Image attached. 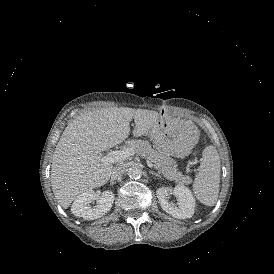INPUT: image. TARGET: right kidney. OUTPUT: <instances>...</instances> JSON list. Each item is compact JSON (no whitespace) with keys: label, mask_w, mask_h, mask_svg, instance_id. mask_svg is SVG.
<instances>
[{"label":"right kidney","mask_w":274,"mask_h":274,"mask_svg":"<svg viewBox=\"0 0 274 274\" xmlns=\"http://www.w3.org/2000/svg\"><path fill=\"white\" fill-rule=\"evenodd\" d=\"M97 200L96 208L87 206L92 200ZM115 199L111 191H104L101 195L87 191L77 196L71 206V212L85 220H94L103 217L112 207Z\"/></svg>","instance_id":"ca27d5eb"}]
</instances>
